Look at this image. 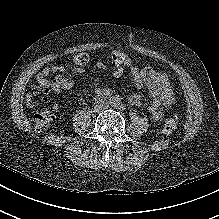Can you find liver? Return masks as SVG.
I'll list each match as a JSON object with an SVG mask.
<instances>
[{"instance_id": "6515ba94", "label": "liver", "mask_w": 219, "mask_h": 219, "mask_svg": "<svg viewBox=\"0 0 219 219\" xmlns=\"http://www.w3.org/2000/svg\"><path fill=\"white\" fill-rule=\"evenodd\" d=\"M27 101L28 102L30 101V95H27Z\"/></svg>"}]
</instances>
